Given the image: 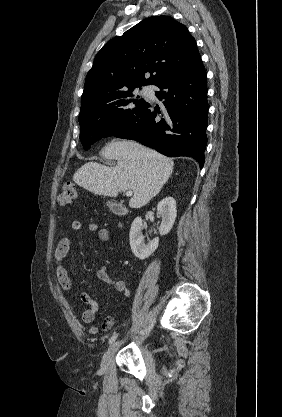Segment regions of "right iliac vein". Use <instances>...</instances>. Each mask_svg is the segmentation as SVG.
I'll return each instance as SVG.
<instances>
[{
    "label": "right iliac vein",
    "mask_w": 282,
    "mask_h": 417,
    "mask_svg": "<svg viewBox=\"0 0 282 417\" xmlns=\"http://www.w3.org/2000/svg\"><path fill=\"white\" fill-rule=\"evenodd\" d=\"M121 345L120 341H117L113 344H111L108 348V350L105 352L102 361H101V370L105 371L110 364L112 358L114 357L115 353L118 351L119 347Z\"/></svg>",
    "instance_id": "right-iliac-vein-1"
}]
</instances>
